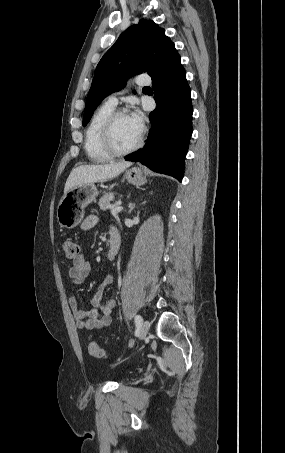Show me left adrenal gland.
Segmentation results:
<instances>
[{
	"label": "left adrenal gland",
	"instance_id": "obj_1",
	"mask_svg": "<svg viewBox=\"0 0 285 453\" xmlns=\"http://www.w3.org/2000/svg\"><path fill=\"white\" fill-rule=\"evenodd\" d=\"M134 208H135V204L130 203L129 204V212L128 213L130 214Z\"/></svg>",
	"mask_w": 285,
	"mask_h": 453
}]
</instances>
